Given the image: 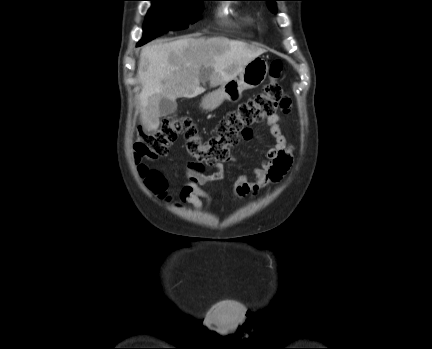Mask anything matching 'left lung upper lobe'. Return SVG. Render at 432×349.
Segmentation results:
<instances>
[{
	"instance_id": "left-lung-upper-lobe-1",
	"label": "left lung upper lobe",
	"mask_w": 432,
	"mask_h": 349,
	"mask_svg": "<svg viewBox=\"0 0 432 349\" xmlns=\"http://www.w3.org/2000/svg\"><path fill=\"white\" fill-rule=\"evenodd\" d=\"M260 1H266L267 2V6L268 8L275 13L276 12V5H275V1H279V0H260Z\"/></svg>"
}]
</instances>
